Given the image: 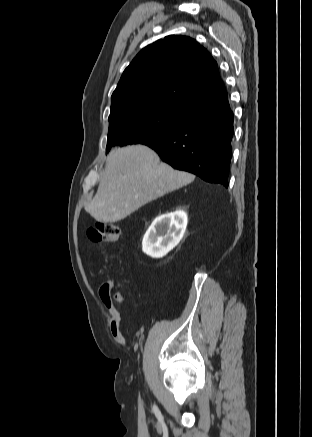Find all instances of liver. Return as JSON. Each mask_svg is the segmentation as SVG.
I'll return each mask as SVG.
<instances>
[{"label":"liver","mask_w":312,"mask_h":437,"mask_svg":"<svg viewBox=\"0 0 312 437\" xmlns=\"http://www.w3.org/2000/svg\"><path fill=\"white\" fill-rule=\"evenodd\" d=\"M195 176L161 162L149 147H115L85 210L97 221H120L143 205L191 183Z\"/></svg>","instance_id":"liver-1"}]
</instances>
